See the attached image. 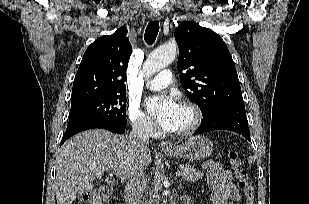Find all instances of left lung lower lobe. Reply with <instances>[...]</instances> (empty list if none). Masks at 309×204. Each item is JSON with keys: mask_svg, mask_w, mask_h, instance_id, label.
I'll return each instance as SVG.
<instances>
[{"mask_svg": "<svg viewBox=\"0 0 309 204\" xmlns=\"http://www.w3.org/2000/svg\"><path fill=\"white\" fill-rule=\"evenodd\" d=\"M213 130L233 131L251 141L244 104L223 105L203 116L202 124L195 135Z\"/></svg>", "mask_w": 309, "mask_h": 204, "instance_id": "left-lung-lower-lobe-1", "label": "left lung lower lobe"}]
</instances>
